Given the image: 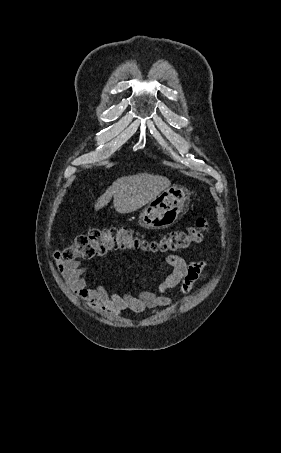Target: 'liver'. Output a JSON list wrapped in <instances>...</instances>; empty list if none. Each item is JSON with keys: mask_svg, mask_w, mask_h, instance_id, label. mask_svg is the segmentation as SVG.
Returning a JSON list of instances; mask_svg holds the SVG:
<instances>
[{"mask_svg": "<svg viewBox=\"0 0 281 453\" xmlns=\"http://www.w3.org/2000/svg\"><path fill=\"white\" fill-rule=\"evenodd\" d=\"M170 184L167 176L148 174V172L121 176L97 198L95 210H99V208L108 204L113 196L114 208L117 212H122V214L133 212V210L141 208V206L156 198Z\"/></svg>", "mask_w": 281, "mask_h": 453, "instance_id": "6515ba94", "label": "liver"}]
</instances>
